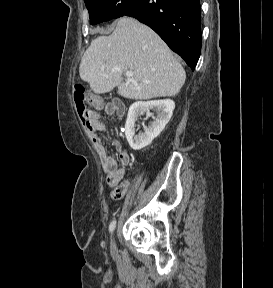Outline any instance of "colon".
<instances>
[{"label": "colon", "instance_id": "obj_1", "mask_svg": "<svg viewBox=\"0 0 273 288\" xmlns=\"http://www.w3.org/2000/svg\"><path fill=\"white\" fill-rule=\"evenodd\" d=\"M73 97L76 104V108L82 123L87 129L92 127L93 121L96 117L95 113L89 108V103L95 108H101L103 103L100 98L94 97L90 101H87L85 90L81 86H75L73 90Z\"/></svg>", "mask_w": 273, "mask_h": 288}]
</instances>
